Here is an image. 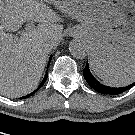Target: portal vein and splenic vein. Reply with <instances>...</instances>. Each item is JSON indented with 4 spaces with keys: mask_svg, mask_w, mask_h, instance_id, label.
<instances>
[{
    "mask_svg": "<svg viewBox=\"0 0 135 135\" xmlns=\"http://www.w3.org/2000/svg\"><path fill=\"white\" fill-rule=\"evenodd\" d=\"M33 28H34L33 23H28V24L26 25V31H29V30H31V29H33Z\"/></svg>",
    "mask_w": 135,
    "mask_h": 135,
    "instance_id": "obj_1",
    "label": "portal vein and splenic vein"
}]
</instances>
